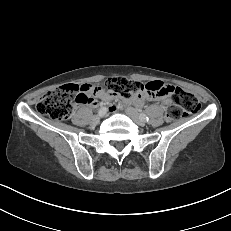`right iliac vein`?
<instances>
[{
    "label": "right iliac vein",
    "mask_w": 231,
    "mask_h": 231,
    "mask_svg": "<svg viewBox=\"0 0 231 231\" xmlns=\"http://www.w3.org/2000/svg\"><path fill=\"white\" fill-rule=\"evenodd\" d=\"M105 114H106V112L94 116L93 119H92V123H93V124H97V123L99 122V120H100Z\"/></svg>",
    "instance_id": "obj_1"
}]
</instances>
